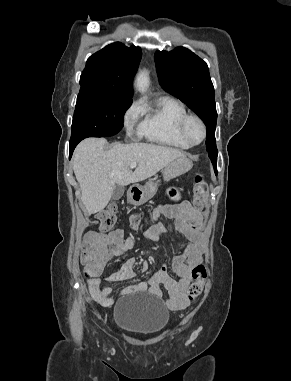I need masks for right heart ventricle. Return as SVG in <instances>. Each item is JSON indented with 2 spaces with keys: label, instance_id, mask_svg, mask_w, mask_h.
<instances>
[{
  "label": "right heart ventricle",
  "instance_id": "obj_1",
  "mask_svg": "<svg viewBox=\"0 0 291 381\" xmlns=\"http://www.w3.org/2000/svg\"><path fill=\"white\" fill-rule=\"evenodd\" d=\"M142 120L138 133L147 140L167 147L189 149L192 145L183 137L180 124L188 115L185 105L174 98H160L151 107H141Z\"/></svg>",
  "mask_w": 291,
  "mask_h": 381
}]
</instances>
